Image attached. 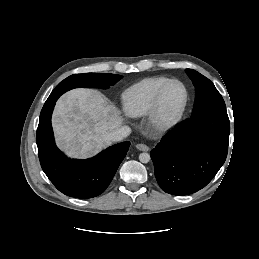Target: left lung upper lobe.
<instances>
[{
    "label": "left lung upper lobe",
    "instance_id": "left-lung-upper-lobe-1",
    "mask_svg": "<svg viewBox=\"0 0 259 259\" xmlns=\"http://www.w3.org/2000/svg\"><path fill=\"white\" fill-rule=\"evenodd\" d=\"M195 87V102L191 116L209 110H226L225 102L214 84L193 69H186Z\"/></svg>",
    "mask_w": 259,
    "mask_h": 259
}]
</instances>
